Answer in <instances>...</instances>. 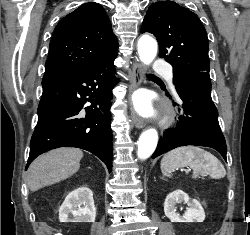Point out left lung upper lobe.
<instances>
[{"label": "left lung upper lobe", "mask_w": 250, "mask_h": 235, "mask_svg": "<svg viewBox=\"0 0 250 235\" xmlns=\"http://www.w3.org/2000/svg\"><path fill=\"white\" fill-rule=\"evenodd\" d=\"M141 32L155 35L161 58L173 66V83L194 72L209 74L208 38L198 16L173 1L150 5Z\"/></svg>", "instance_id": "1"}]
</instances>
